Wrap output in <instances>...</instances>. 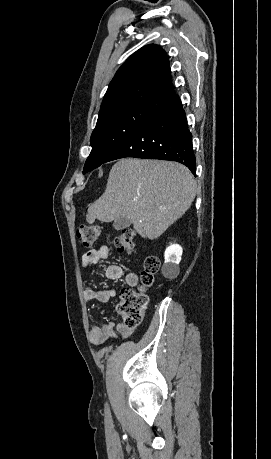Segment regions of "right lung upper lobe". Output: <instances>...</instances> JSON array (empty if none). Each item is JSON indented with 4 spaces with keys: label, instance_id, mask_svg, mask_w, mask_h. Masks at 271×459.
Instances as JSON below:
<instances>
[{
    "label": "right lung upper lobe",
    "instance_id": "cb5924a9",
    "mask_svg": "<svg viewBox=\"0 0 271 459\" xmlns=\"http://www.w3.org/2000/svg\"><path fill=\"white\" fill-rule=\"evenodd\" d=\"M176 98L167 55L161 47L150 44L132 54L116 72L99 117L135 108L157 113Z\"/></svg>",
    "mask_w": 271,
    "mask_h": 459
}]
</instances>
